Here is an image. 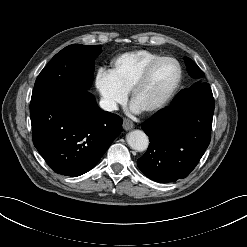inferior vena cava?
<instances>
[{
    "label": "inferior vena cava",
    "mask_w": 247,
    "mask_h": 247,
    "mask_svg": "<svg viewBox=\"0 0 247 247\" xmlns=\"http://www.w3.org/2000/svg\"><path fill=\"white\" fill-rule=\"evenodd\" d=\"M99 104L100 107L105 111H113L117 109V104L113 101L101 99Z\"/></svg>",
    "instance_id": "602c4592"
}]
</instances>
